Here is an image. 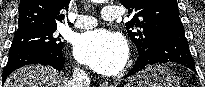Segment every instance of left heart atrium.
<instances>
[{"instance_id": "obj_1", "label": "left heart atrium", "mask_w": 205, "mask_h": 87, "mask_svg": "<svg viewBox=\"0 0 205 87\" xmlns=\"http://www.w3.org/2000/svg\"><path fill=\"white\" fill-rule=\"evenodd\" d=\"M74 55L78 61L93 70L114 75L122 69L127 60L128 46L121 35L97 29L77 36Z\"/></svg>"}]
</instances>
